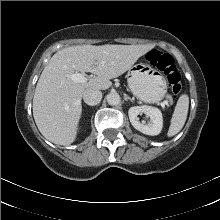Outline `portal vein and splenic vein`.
Returning a JSON list of instances; mask_svg holds the SVG:
<instances>
[{
  "label": "portal vein and splenic vein",
  "instance_id": "1",
  "mask_svg": "<svg viewBox=\"0 0 220 220\" xmlns=\"http://www.w3.org/2000/svg\"><path fill=\"white\" fill-rule=\"evenodd\" d=\"M67 78H70L74 82H79V83H85L87 82V77L84 74L81 73H74L71 75H66ZM166 102H161L160 105L164 108Z\"/></svg>",
  "mask_w": 220,
  "mask_h": 220
}]
</instances>
